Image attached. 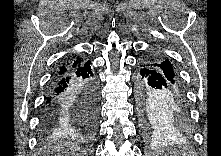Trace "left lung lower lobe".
Returning <instances> with one entry per match:
<instances>
[{"label":"left lung lower lobe","mask_w":221,"mask_h":156,"mask_svg":"<svg viewBox=\"0 0 221 156\" xmlns=\"http://www.w3.org/2000/svg\"><path fill=\"white\" fill-rule=\"evenodd\" d=\"M136 85L141 134L146 141L174 136L189 129L187 98L173 72L141 59Z\"/></svg>","instance_id":"1"}]
</instances>
